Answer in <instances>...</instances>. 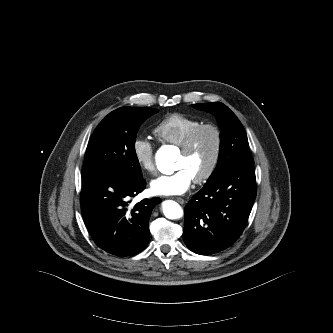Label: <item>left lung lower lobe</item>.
Masks as SVG:
<instances>
[{
  "instance_id": "obj_1",
  "label": "left lung lower lobe",
  "mask_w": 333,
  "mask_h": 333,
  "mask_svg": "<svg viewBox=\"0 0 333 333\" xmlns=\"http://www.w3.org/2000/svg\"><path fill=\"white\" fill-rule=\"evenodd\" d=\"M255 197L253 165L231 168L206 183L185 206L187 247L210 255L231 246L246 226Z\"/></svg>"
}]
</instances>
